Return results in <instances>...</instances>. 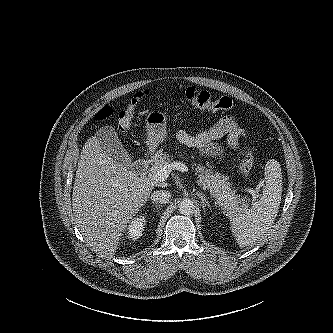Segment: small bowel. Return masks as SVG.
Returning a JSON list of instances; mask_svg holds the SVG:
<instances>
[{
  "mask_svg": "<svg viewBox=\"0 0 333 333\" xmlns=\"http://www.w3.org/2000/svg\"><path fill=\"white\" fill-rule=\"evenodd\" d=\"M247 135L248 131L237 118L225 116L213 126L196 134H191L182 129L178 130L175 138L179 143L187 147L198 149L203 157H221L224 155V149L215 142L217 139L227 136L229 146L237 150L240 139Z\"/></svg>",
  "mask_w": 333,
  "mask_h": 333,
  "instance_id": "obj_1",
  "label": "small bowel"
}]
</instances>
